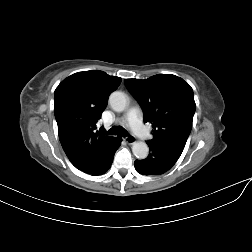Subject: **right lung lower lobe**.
<instances>
[{"mask_svg":"<svg viewBox=\"0 0 252 252\" xmlns=\"http://www.w3.org/2000/svg\"><path fill=\"white\" fill-rule=\"evenodd\" d=\"M121 144V138L115 137L112 142L109 144L107 155L103 162L93 171H83L85 173L91 174V175H102L104 174L110 167L113 162V157L116 152V150L119 148Z\"/></svg>","mask_w":252,"mask_h":252,"instance_id":"right-lung-lower-lobe-1","label":"right lung lower lobe"}]
</instances>
